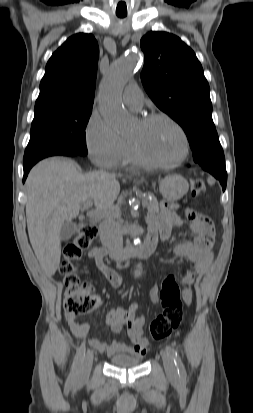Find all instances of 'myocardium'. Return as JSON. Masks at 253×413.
<instances>
[{"label":"myocardium","instance_id":"1","mask_svg":"<svg viewBox=\"0 0 253 413\" xmlns=\"http://www.w3.org/2000/svg\"><path fill=\"white\" fill-rule=\"evenodd\" d=\"M157 120H164L168 122L169 124H171L177 130V132L181 136L182 143H183V149H182L181 155L175 161H172L169 163L156 162L145 155V153L143 152L142 148L140 147L137 141L131 139L130 143L132 145L133 151L136 157L138 158V160L141 162V164L145 166L156 168V169H172V168L178 167L187 159L189 155L190 143H189L188 136L185 130L183 129V127L175 119H173L172 117L164 113H154V114L147 115L140 120V123L142 125H148Z\"/></svg>","mask_w":253,"mask_h":413}]
</instances>
